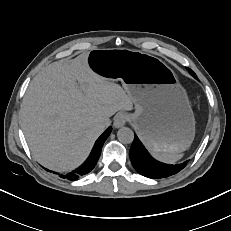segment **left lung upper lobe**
<instances>
[{
	"label": "left lung upper lobe",
	"instance_id": "5c2ea615",
	"mask_svg": "<svg viewBox=\"0 0 231 231\" xmlns=\"http://www.w3.org/2000/svg\"><path fill=\"white\" fill-rule=\"evenodd\" d=\"M188 70H189L190 74H191L194 78H196L195 73H194L191 69H188Z\"/></svg>",
	"mask_w": 231,
	"mask_h": 231
}]
</instances>
